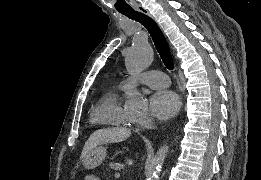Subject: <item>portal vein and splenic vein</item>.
Segmentation results:
<instances>
[{
    "instance_id": "portal-vein-and-splenic-vein-1",
    "label": "portal vein and splenic vein",
    "mask_w": 261,
    "mask_h": 180,
    "mask_svg": "<svg viewBox=\"0 0 261 180\" xmlns=\"http://www.w3.org/2000/svg\"><path fill=\"white\" fill-rule=\"evenodd\" d=\"M114 178H115V179H120V178H121V175H120V174H115V175H114Z\"/></svg>"
}]
</instances>
